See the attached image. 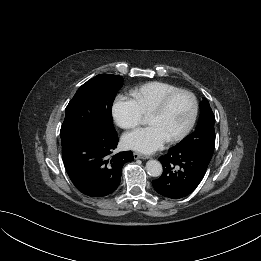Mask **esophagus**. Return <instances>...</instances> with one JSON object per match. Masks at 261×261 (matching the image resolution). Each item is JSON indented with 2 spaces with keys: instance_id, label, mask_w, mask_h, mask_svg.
<instances>
[{
  "instance_id": "34e87169",
  "label": "esophagus",
  "mask_w": 261,
  "mask_h": 261,
  "mask_svg": "<svg viewBox=\"0 0 261 261\" xmlns=\"http://www.w3.org/2000/svg\"><path fill=\"white\" fill-rule=\"evenodd\" d=\"M133 156H134L135 159H148L149 158L148 156L140 154L138 152H134Z\"/></svg>"
}]
</instances>
